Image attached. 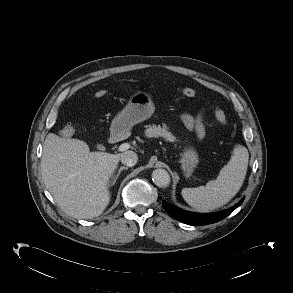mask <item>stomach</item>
I'll use <instances>...</instances> for the list:
<instances>
[{
  "mask_svg": "<svg viewBox=\"0 0 293 293\" xmlns=\"http://www.w3.org/2000/svg\"><path fill=\"white\" fill-rule=\"evenodd\" d=\"M153 113L154 104L151 95L138 91L130 97L127 105L113 120L111 134L122 137L129 133L134 125L147 120ZM180 162L185 175L190 176L199 162L196 150L190 146L184 148Z\"/></svg>",
  "mask_w": 293,
  "mask_h": 293,
  "instance_id": "obj_1",
  "label": "stomach"
}]
</instances>
